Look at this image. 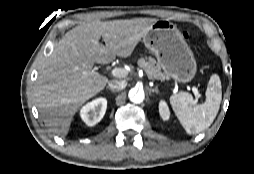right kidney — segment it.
<instances>
[{"mask_svg":"<svg viewBox=\"0 0 254 174\" xmlns=\"http://www.w3.org/2000/svg\"><path fill=\"white\" fill-rule=\"evenodd\" d=\"M106 108L107 100L105 98H97L81 108L80 116L88 126H94L101 121Z\"/></svg>","mask_w":254,"mask_h":174,"instance_id":"right-kidney-1","label":"right kidney"}]
</instances>
